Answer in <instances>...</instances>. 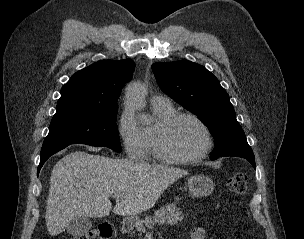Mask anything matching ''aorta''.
Wrapping results in <instances>:
<instances>
[{"mask_svg":"<svg viewBox=\"0 0 304 239\" xmlns=\"http://www.w3.org/2000/svg\"><path fill=\"white\" fill-rule=\"evenodd\" d=\"M145 91L140 83H132L126 89V103L136 108H142Z\"/></svg>","mask_w":304,"mask_h":239,"instance_id":"1","label":"aorta"}]
</instances>
